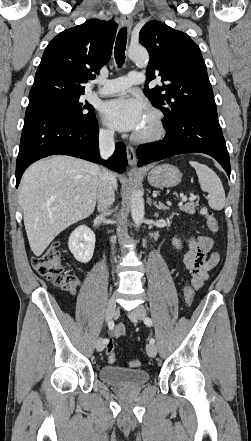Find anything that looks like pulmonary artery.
<instances>
[{
  "label": "pulmonary artery",
  "mask_w": 251,
  "mask_h": 441,
  "mask_svg": "<svg viewBox=\"0 0 251 441\" xmlns=\"http://www.w3.org/2000/svg\"><path fill=\"white\" fill-rule=\"evenodd\" d=\"M144 79L145 77L142 72L132 71L127 76L103 81V88L100 93L102 95H111L122 92L132 85L142 84Z\"/></svg>",
  "instance_id": "pulmonary-artery-1"
}]
</instances>
